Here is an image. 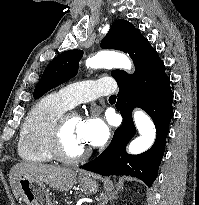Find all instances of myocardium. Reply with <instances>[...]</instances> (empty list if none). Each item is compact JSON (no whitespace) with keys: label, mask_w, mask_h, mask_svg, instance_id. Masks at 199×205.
I'll return each mask as SVG.
<instances>
[{"label":"myocardium","mask_w":199,"mask_h":205,"mask_svg":"<svg viewBox=\"0 0 199 205\" xmlns=\"http://www.w3.org/2000/svg\"><path fill=\"white\" fill-rule=\"evenodd\" d=\"M74 115L71 112L62 113L58 119L55 121L53 127L50 130L48 140H47V149L50 155L54 160H57L62 163H75L87 158L90 155V149L85 148L82 151L76 154H68L63 147V134L66 123L68 119Z\"/></svg>","instance_id":"myocardium-1"}]
</instances>
